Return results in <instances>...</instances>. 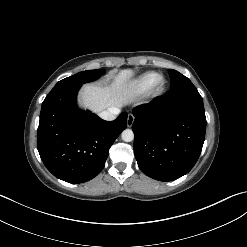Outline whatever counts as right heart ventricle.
<instances>
[{
	"instance_id": "obj_1",
	"label": "right heart ventricle",
	"mask_w": 247,
	"mask_h": 247,
	"mask_svg": "<svg viewBox=\"0 0 247 247\" xmlns=\"http://www.w3.org/2000/svg\"><path fill=\"white\" fill-rule=\"evenodd\" d=\"M157 77L158 74L156 72H146L134 79L128 85V89L133 93H144L154 85Z\"/></svg>"
}]
</instances>
